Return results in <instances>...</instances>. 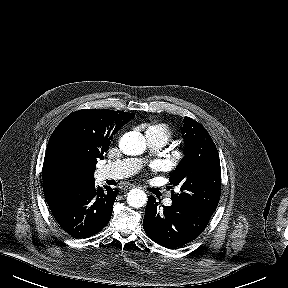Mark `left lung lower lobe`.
Here are the masks:
<instances>
[{
  "label": "left lung lower lobe",
  "instance_id": "1",
  "mask_svg": "<svg viewBox=\"0 0 288 288\" xmlns=\"http://www.w3.org/2000/svg\"><path fill=\"white\" fill-rule=\"evenodd\" d=\"M150 196L145 209L143 228L154 242L166 248L181 247L197 238L207 226L212 214L178 202L163 209Z\"/></svg>",
  "mask_w": 288,
  "mask_h": 288
}]
</instances>
